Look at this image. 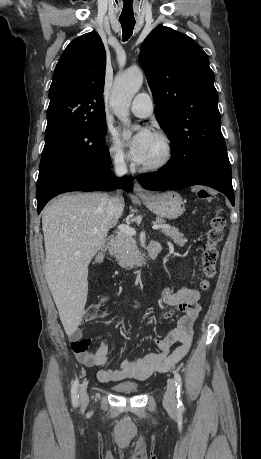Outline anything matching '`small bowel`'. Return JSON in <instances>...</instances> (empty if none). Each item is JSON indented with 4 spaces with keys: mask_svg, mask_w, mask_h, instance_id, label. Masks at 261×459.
<instances>
[{
    "mask_svg": "<svg viewBox=\"0 0 261 459\" xmlns=\"http://www.w3.org/2000/svg\"><path fill=\"white\" fill-rule=\"evenodd\" d=\"M104 255L99 253L95 263L103 262ZM164 319H170L177 313L181 316L177 325L163 337L155 340L157 350L139 359H126L118 369L103 368L97 377L101 382H114L127 378L145 379L156 370H169L175 366L189 351L193 339V325L201 311L198 303L199 292L192 287H183L180 290L166 288L161 295ZM71 348L77 360L87 367H102L108 362L109 348L104 339L98 341L94 351L89 350L90 339L82 338L79 327L67 330ZM178 342L179 345L169 354L170 347Z\"/></svg>",
    "mask_w": 261,
    "mask_h": 459,
    "instance_id": "small-bowel-1",
    "label": "small bowel"
}]
</instances>
